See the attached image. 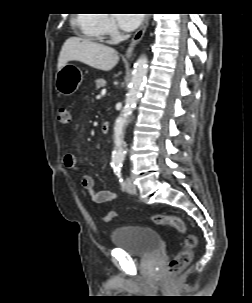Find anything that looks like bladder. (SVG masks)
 Wrapping results in <instances>:
<instances>
[{
	"label": "bladder",
	"instance_id": "31cf9c89",
	"mask_svg": "<svg viewBox=\"0 0 252 303\" xmlns=\"http://www.w3.org/2000/svg\"><path fill=\"white\" fill-rule=\"evenodd\" d=\"M112 244L135 257H148L161 250L160 234L146 226H123L111 234Z\"/></svg>",
	"mask_w": 252,
	"mask_h": 303
}]
</instances>
